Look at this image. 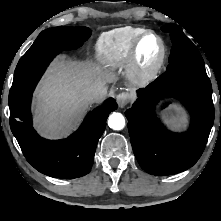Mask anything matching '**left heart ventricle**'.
I'll list each match as a JSON object with an SVG mask.
<instances>
[{
  "label": "left heart ventricle",
  "mask_w": 221,
  "mask_h": 221,
  "mask_svg": "<svg viewBox=\"0 0 221 221\" xmlns=\"http://www.w3.org/2000/svg\"><path fill=\"white\" fill-rule=\"evenodd\" d=\"M160 54V43L154 36H148L141 44L139 57L144 67L152 66Z\"/></svg>",
  "instance_id": "obj_1"
}]
</instances>
